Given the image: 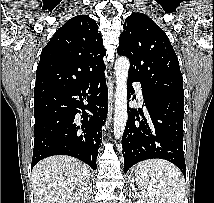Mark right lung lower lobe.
<instances>
[{
  "label": "right lung lower lobe",
  "mask_w": 214,
  "mask_h": 203,
  "mask_svg": "<svg viewBox=\"0 0 214 203\" xmlns=\"http://www.w3.org/2000/svg\"><path fill=\"white\" fill-rule=\"evenodd\" d=\"M107 98L103 72L81 84L35 99L31 168L46 157L69 155L96 170L101 127L107 116Z\"/></svg>",
  "instance_id": "1"
}]
</instances>
